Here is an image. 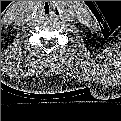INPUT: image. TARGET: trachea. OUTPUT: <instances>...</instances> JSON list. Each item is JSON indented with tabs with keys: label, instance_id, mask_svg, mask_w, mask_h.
I'll list each match as a JSON object with an SVG mask.
<instances>
[{
	"label": "trachea",
	"instance_id": "trachea-1",
	"mask_svg": "<svg viewBox=\"0 0 121 121\" xmlns=\"http://www.w3.org/2000/svg\"><path fill=\"white\" fill-rule=\"evenodd\" d=\"M52 7L49 3L45 2L40 7V13L43 16H49L52 14Z\"/></svg>",
	"mask_w": 121,
	"mask_h": 121
}]
</instances>
